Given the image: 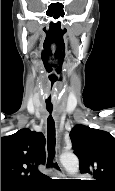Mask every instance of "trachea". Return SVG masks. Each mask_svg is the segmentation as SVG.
Listing matches in <instances>:
<instances>
[{
    "label": "trachea",
    "instance_id": "1",
    "mask_svg": "<svg viewBox=\"0 0 115 191\" xmlns=\"http://www.w3.org/2000/svg\"><path fill=\"white\" fill-rule=\"evenodd\" d=\"M50 115L47 119V148H48V161L47 167H54L59 169L58 164L53 162L55 157V145H56V138H55V122L52 117V109H48Z\"/></svg>",
    "mask_w": 115,
    "mask_h": 191
}]
</instances>
